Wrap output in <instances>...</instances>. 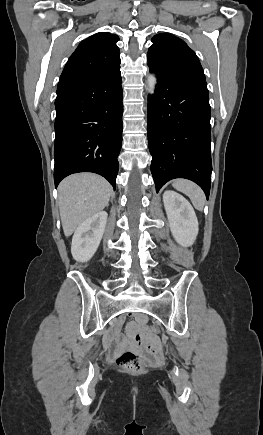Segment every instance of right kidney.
I'll return each instance as SVG.
<instances>
[{
    "mask_svg": "<svg viewBox=\"0 0 263 435\" xmlns=\"http://www.w3.org/2000/svg\"><path fill=\"white\" fill-rule=\"evenodd\" d=\"M107 217V212L100 211L86 219L75 230L71 253L76 261L87 262L92 258L103 237Z\"/></svg>",
    "mask_w": 263,
    "mask_h": 435,
    "instance_id": "1",
    "label": "right kidney"
}]
</instances>
